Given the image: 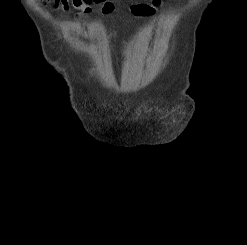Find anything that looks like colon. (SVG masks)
I'll return each mask as SVG.
<instances>
[{"label":"colon","instance_id":"5ec220e1","mask_svg":"<svg viewBox=\"0 0 247 245\" xmlns=\"http://www.w3.org/2000/svg\"><path fill=\"white\" fill-rule=\"evenodd\" d=\"M96 3H103V12H108L111 11V9L113 8V3L111 1H106V0H93Z\"/></svg>","mask_w":247,"mask_h":245}]
</instances>
